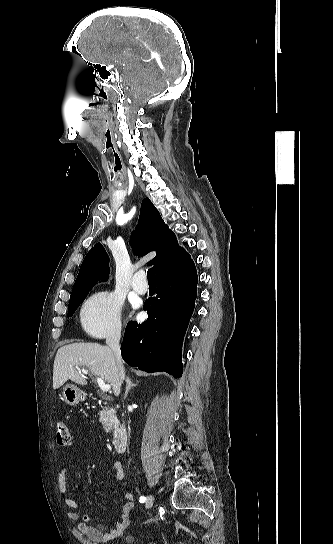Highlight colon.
Listing matches in <instances>:
<instances>
[{
  "mask_svg": "<svg viewBox=\"0 0 333 544\" xmlns=\"http://www.w3.org/2000/svg\"><path fill=\"white\" fill-rule=\"evenodd\" d=\"M56 439L58 445L69 447L72 444V435L65 422L59 420L56 422Z\"/></svg>",
  "mask_w": 333,
  "mask_h": 544,
  "instance_id": "1",
  "label": "colon"
}]
</instances>
